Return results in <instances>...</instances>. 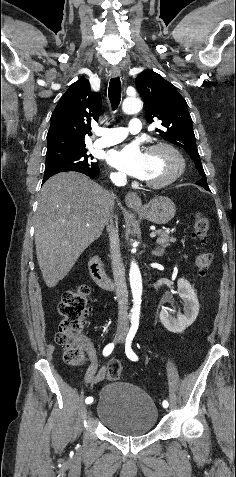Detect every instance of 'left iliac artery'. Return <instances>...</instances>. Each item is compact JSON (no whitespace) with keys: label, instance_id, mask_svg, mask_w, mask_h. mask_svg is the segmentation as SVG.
<instances>
[{"label":"left iliac artery","instance_id":"1","mask_svg":"<svg viewBox=\"0 0 236 477\" xmlns=\"http://www.w3.org/2000/svg\"><path fill=\"white\" fill-rule=\"evenodd\" d=\"M138 325L139 323L138 322H133L132 323V326L127 334V337H126V343H125V351H126V355L127 357L132 360V361H137L138 360V357L137 355L133 352L132 348H131V343H132V340L137 332V329H138ZM163 407L164 406H169V403L167 400H164L163 403H162Z\"/></svg>","mask_w":236,"mask_h":477}]
</instances>
